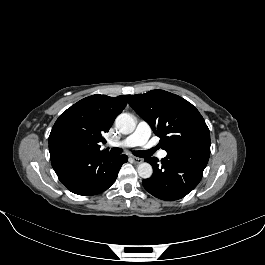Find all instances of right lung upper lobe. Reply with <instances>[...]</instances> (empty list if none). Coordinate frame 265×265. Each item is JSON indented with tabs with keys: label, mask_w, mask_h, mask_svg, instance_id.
Instances as JSON below:
<instances>
[{
	"label": "right lung upper lobe",
	"mask_w": 265,
	"mask_h": 265,
	"mask_svg": "<svg viewBox=\"0 0 265 265\" xmlns=\"http://www.w3.org/2000/svg\"><path fill=\"white\" fill-rule=\"evenodd\" d=\"M129 97L130 95H92L64 111L49 135L51 161L107 153L108 151L100 150L98 143L104 141L102 134L109 131Z\"/></svg>",
	"instance_id": "1"
}]
</instances>
